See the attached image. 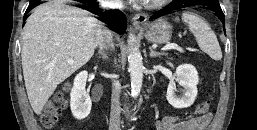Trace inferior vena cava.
Returning a JSON list of instances; mask_svg holds the SVG:
<instances>
[{
	"label": "inferior vena cava",
	"instance_id": "1",
	"mask_svg": "<svg viewBox=\"0 0 257 130\" xmlns=\"http://www.w3.org/2000/svg\"><path fill=\"white\" fill-rule=\"evenodd\" d=\"M113 7L121 8L122 1L113 0ZM106 44H108L113 48L111 32L107 29H103L101 32L98 45L100 47L101 46L106 47ZM120 89H121L120 83L116 80H113L109 130H120V113H121L120 102H119Z\"/></svg>",
	"mask_w": 257,
	"mask_h": 130
}]
</instances>
